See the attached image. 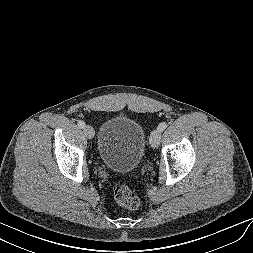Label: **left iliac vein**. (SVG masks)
I'll list each match as a JSON object with an SVG mask.
<instances>
[{
    "label": "left iliac vein",
    "mask_w": 253,
    "mask_h": 253,
    "mask_svg": "<svg viewBox=\"0 0 253 253\" xmlns=\"http://www.w3.org/2000/svg\"><path fill=\"white\" fill-rule=\"evenodd\" d=\"M161 141V131L159 129H156L152 131L150 135V144L153 148H157Z\"/></svg>",
    "instance_id": "left-iliac-vein-1"
}]
</instances>
